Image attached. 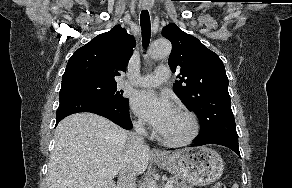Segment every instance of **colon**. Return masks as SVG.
<instances>
[{
  "instance_id": "5ec220e1",
  "label": "colon",
  "mask_w": 292,
  "mask_h": 188,
  "mask_svg": "<svg viewBox=\"0 0 292 188\" xmlns=\"http://www.w3.org/2000/svg\"><path fill=\"white\" fill-rule=\"evenodd\" d=\"M211 188H226V185L223 182H218L214 184Z\"/></svg>"
}]
</instances>
